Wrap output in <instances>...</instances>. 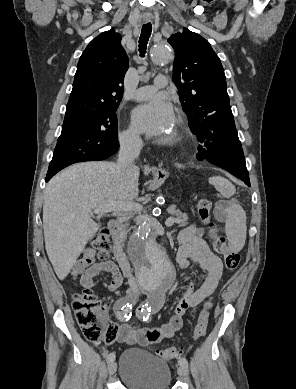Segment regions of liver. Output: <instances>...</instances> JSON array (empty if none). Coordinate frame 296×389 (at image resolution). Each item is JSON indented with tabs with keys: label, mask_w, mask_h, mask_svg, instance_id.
I'll list each match as a JSON object with an SVG mask.
<instances>
[{
	"label": "liver",
	"mask_w": 296,
	"mask_h": 389,
	"mask_svg": "<svg viewBox=\"0 0 296 389\" xmlns=\"http://www.w3.org/2000/svg\"><path fill=\"white\" fill-rule=\"evenodd\" d=\"M137 174L118 163L85 162L70 166L46 185L43 203L45 248L57 277L64 280L87 242L100 229L94 210L138 196Z\"/></svg>",
	"instance_id": "6515ba94"
}]
</instances>
